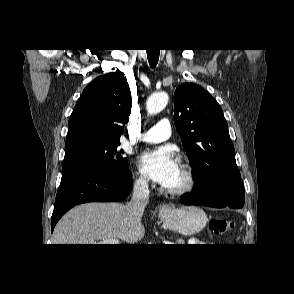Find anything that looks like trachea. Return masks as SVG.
<instances>
[{
    "mask_svg": "<svg viewBox=\"0 0 294 294\" xmlns=\"http://www.w3.org/2000/svg\"><path fill=\"white\" fill-rule=\"evenodd\" d=\"M146 52H147L149 64L152 68H154L157 65L159 60V50L150 49V50H146Z\"/></svg>",
    "mask_w": 294,
    "mask_h": 294,
    "instance_id": "3493384b",
    "label": "trachea"
}]
</instances>
